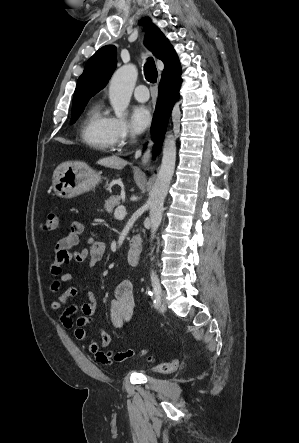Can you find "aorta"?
Instances as JSON below:
<instances>
[{
    "label": "aorta",
    "instance_id": "1",
    "mask_svg": "<svg viewBox=\"0 0 299 443\" xmlns=\"http://www.w3.org/2000/svg\"><path fill=\"white\" fill-rule=\"evenodd\" d=\"M137 77L136 66L129 64L120 67L111 78L109 99L118 118H122L125 114ZM175 162L176 142L173 133L169 131L164 140L161 166L147 202L150 210L151 240L154 239L162 221L164 200L174 174Z\"/></svg>",
    "mask_w": 299,
    "mask_h": 443
}]
</instances>
